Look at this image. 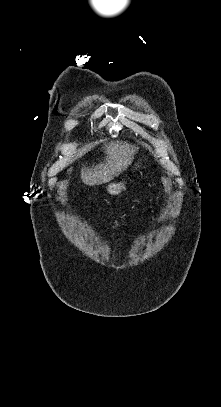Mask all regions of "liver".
<instances>
[{
  "label": "liver",
  "instance_id": "6515ba94",
  "mask_svg": "<svg viewBox=\"0 0 221 407\" xmlns=\"http://www.w3.org/2000/svg\"><path fill=\"white\" fill-rule=\"evenodd\" d=\"M86 145L84 148H89ZM106 158L104 162L90 167H82L81 179L88 186H95L110 182L115 176H118L132 163L134 154L138 148L132 144L122 141H113L105 143L103 147ZM72 167L68 170L71 173Z\"/></svg>",
  "mask_w": 221,
  "mask_h": 407
}]
</instances>
